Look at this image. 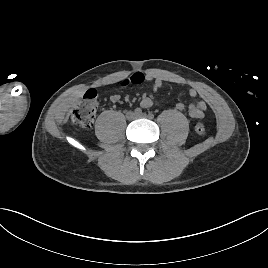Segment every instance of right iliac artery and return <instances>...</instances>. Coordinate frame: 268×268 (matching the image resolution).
Listing matches in <instances>:
<instances>
[{"label": "right iliac artery", "instance_id": "82829eb1", "mask_svg": "<svg viewBox=\"0 0 268 268\" xmlns=\"http://www.w3.org/2000/svg\"><path fill=\"white\" fill-rule=\"evenodd\" d=\"M134 112H135L137 115H139V114L142 113V109H141V108H136V109L134 110Z\"/></svg>", "mask_w": 268, "mask_h": 268}]
</instances>
